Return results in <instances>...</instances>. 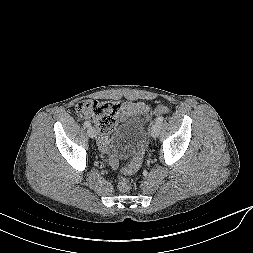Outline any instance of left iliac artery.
<instances>
[{"label":"left iliac artery","mask_w":253,"mask_h":253,"mask_svg":"<svg viewBox=\"0 0 253 253\" xmlns=\"http://www.w3.org/2000/svg\"><path fill=\"white\" fill-rule=\"evenodd\" d=\"M163 120H164V117H158L157 119H156V123H158V124H161L162 122H163Z\"/></svg>","instance_id":"1"}]
</instances>
